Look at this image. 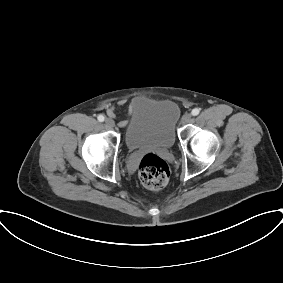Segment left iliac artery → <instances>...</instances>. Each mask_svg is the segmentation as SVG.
Wrapping results in <instances>:
<instances>
[{"instance_id":"44dca946","label":"left iliac artery","mask_w":283,"mask_h":283,"mask_svg":"<svg viewBox=\"0 0 283 283\" xmlns=\"http://www.w3.org/2000/svg\"><path fill=\"white\" fill-rule=\"evenodd\" d=\"M199 112H200V110H199L198 108H194V109L192 110L191 114H192L193 116H197V115L199 114Z\"/></svg>"}]
</instances>
